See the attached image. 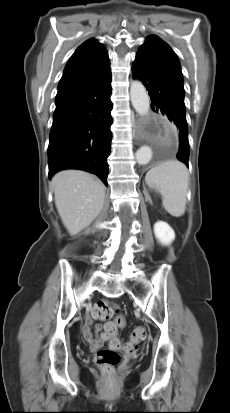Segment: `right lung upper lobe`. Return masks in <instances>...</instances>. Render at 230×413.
Returning <instances> with one entry per match:
<instances>
[{"label": "right lung upper lobe", "mask_w": 230, "mask_h": 413, "mask_svg": "<svg viewBox=\"0 0 230 413\" xmlns=\"http://www.w3.org/2000/svg\"><path fill=\"white\" fill-rule=\"evenodd\" d=\"M110 61L104 45L89 39L78 47L68 61L58 90L93 81L110 72Z\"/></svg>", "instance_id": "obj_1"}]
</instances>
